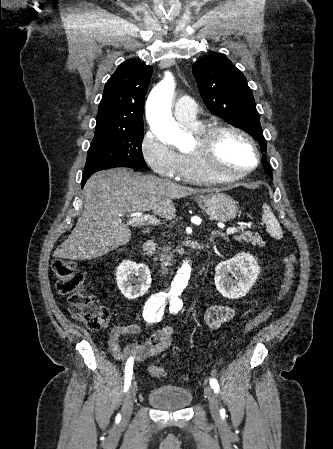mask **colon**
Masks as SVG:
<instances>
[{"label": "colon", "instance_id": "1", "mask_svg": "<svg viewBox=\"0 0 333 449\" xmlns=\"http://www.w3.org/2000/svg\"><path fill=\"white\" fill-rule=\"evenodd\" d=\"M296 256L286 253L282 258L283 283L273 303L252 314L243 322V331L249 334L262 325L271 315L273 304L283 300L290 292L296 272ZM51 269L57 278L56 289L62 295H69V305L72 316L84 323L90 330L99 331L108 326L110 320L109 309L96 302L93 295L86 292L84 278L77 271L76 264L68 259L55 258ZM149 372L155 377L166 374L159 365L149 367Z\"/></svg>", "mask_w": 333, "mask_h": 449}]
</instances>
